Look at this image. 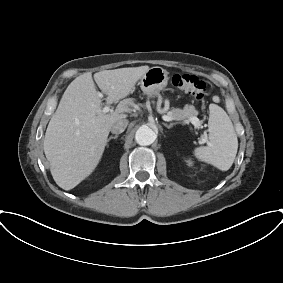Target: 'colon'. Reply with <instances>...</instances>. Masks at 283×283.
Segmentation results:
<instances>
[{"mask_svg": "<svg viewBox=\"0 0 283 283\" xmlns=\"http://www.w3.org/2000/svg\"><path fill=\"white\" fill-rule=\"evenodd\" d=\"M172 85L179 91L203 100L208 92L207 84L195 75L178 73L172 76Z\"/></svg>", "mask_w": 283, "mask_h": 283, "instance_id": "1", "label": "colon"}]
</instances>
